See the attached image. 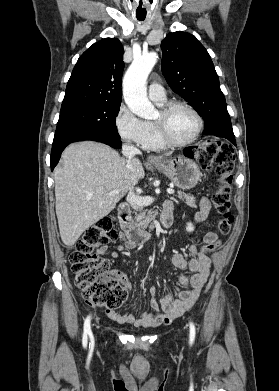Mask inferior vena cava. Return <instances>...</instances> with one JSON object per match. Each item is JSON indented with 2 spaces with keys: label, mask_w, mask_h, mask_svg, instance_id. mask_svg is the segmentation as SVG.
Returning a JSON list of instances; mask_svg holds the SVG:
<instances>
[{
  "label": "inferior vena cava",
  "mask_w": 279,
  "mask_h": 391,
  "mask_svg": "<svg viewBox=\"0 0 279 391\" xmlns=\"http://www.w3.org/2000/svg\"><path fill=\"white\" fill-rule=\"evenodd\" d=\"M122 152H123V155L127 158V168L131 172H134V167H133L132 161H133V159H135V155L141 154L140 150L130 144H124L122 146ZM135 184L136 183H134V185ZM133 186L130 188V192L127 196V201L130 203V205L132 206V208L134 210L138 211V210L143 209V205L141 204V200H140L139 196L136 195L132 191Z\"/></svg>",
  "instance_id": "1"
}]
</instances>
